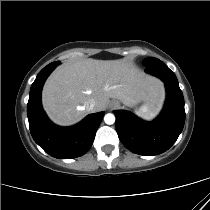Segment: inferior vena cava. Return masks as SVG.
Instances as JSON below:
<instances>
[{
    "mask_svg": "<svg viewBox=\"0 0 210 210\" xmlns=\"http://www.w3.org/2000/svg\"><path fill=\"white\" fill-rule=\"evenodd\" d=\"M95 105H96V102L95 100H90L88 103H87V108L90 110V111H93L94 108H95Z\"/></svg>",
    "mask_w": 210,
    "mask_h": 210,
    "instance_id": "1",
    "label": "inferior vena cava"
}]
</instances>
